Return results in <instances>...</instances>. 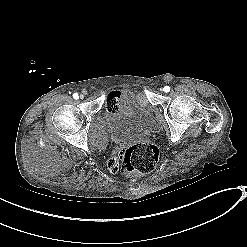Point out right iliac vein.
<instances>
[{
	"instance_id": "1",
	"label": "right iliac vein",
	"mask_w": 247,
	"mask_h": 247,
	"mask_svg": "<svg viewBox=\"0 0 247 247\" xmlns=\"http://www.w3.org/2000/svg\"><path fill=\"white\" fill-rule=\"evenodd\" d=\"M80 98H81V99H83V98H84V96H83V95H80Z\"/></svg>"
}]
</instances>
